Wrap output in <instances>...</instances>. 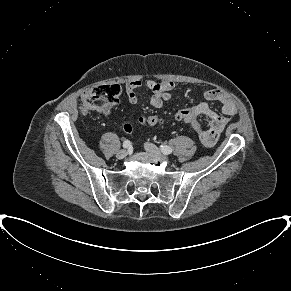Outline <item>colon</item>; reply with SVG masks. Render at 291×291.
Instances as JSON below:
<instances>
[{"label": "colon", "mask_w": 291, "mask_h": 291, "mask_svg": "<svg viewBox=\"0 0 291 291\" xmlns=\"http://www.w3.org/2000/svg\"><path fill=\"white\" fill-rule=\"evenodd\" d=\"M122 90L119 85H100L92 87L83 92L81 96L80 110L86 115L93 111H103L114 107L119 103ZM173 118L178 121H185L191 125L193 130L201 134V124L190 108L178 110ZM140 122L147 126H159L165 123V119L158 115H149L140 118ZM124 131L131 132V125L126 124Z\"/></svg>", "instance_id": "5ec220e1"}]
</instances>
